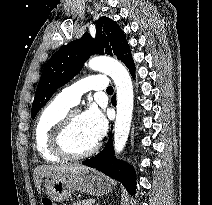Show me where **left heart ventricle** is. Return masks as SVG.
<instances>
[{
	"label": "left heart ventricle",
	"instance_id": "b2bd125f",
	"mask_svg": "<svg viewBox=\"0 0 212 205\" xmlns=\"http://www.w3.org/2000/svg\"><path fill=\"white\" fill-rule=\"evenodd\" d=\"M96 141L86 129L82 117L79 113L72 118L67 134V146L75 153H80L89 149Z\"/></svg>",
	"mask_w": 212,
	"mask_h": 205
}]
</instances>
